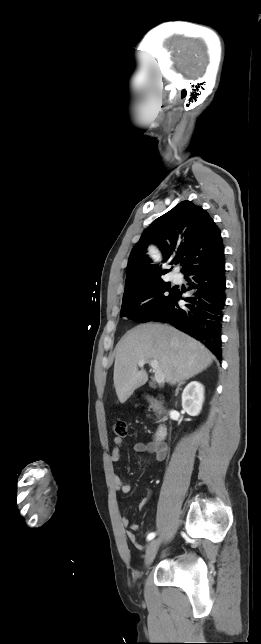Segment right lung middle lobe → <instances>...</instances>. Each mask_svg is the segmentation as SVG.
I'll list each match as a JSON object with an SVG mask.
<instances>
[{"mask_svg":"<svg viewBox=\"0 0 261 644\" xmlns=\"http://www.w3.org/2000/svg\"><path fill=\"white\" fill-rule=\"evenodd\" d=\"M177 293L178 290L163 280L125 288L120 314L141 323L151 321L165 310ZM152 297L140 306V302Z\"/></svg>","mask_w":261,"mask_h":644,"instance_id":"obj_1","label":"right lung middle lobe"}]
</instances>
